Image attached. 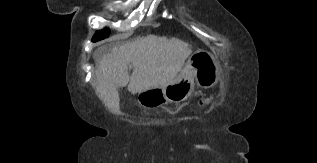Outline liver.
Listing matches in <instances>:
<instances>
[{
  "label": "liver",
  "instance_id": "1",
  "mask_svg": "<svg viewBox=\"0 0 317 163\" xmlns=\"http://www.w3.org/2000/svg\"><path fill=\"white\" fill-rule=\"evenodd\" d=\"M192 53L191 46L177 38L147 35L122 43L103 55L96 69V93L112 113L119 110L118 87L132 94L172 82ZM129 65L133 71L128 73Z\"/></svg>",
  "mask_w": 317,
  "mask_h": 163
}]
</instances>
